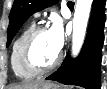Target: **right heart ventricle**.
<instances>
[{
	"mask_svg": "<svg viewBox=\"0 0 107 89\" xmlns=\"http://www.w3.org/2000/svg\"><path fill=\"white\" fill-rule=\"evenodd\" d=\"M35 27L36 26L34 22H31L30 24H28L16 37L11 48L10 60H11L12 70L18 78L24 79V80L32 79L36 76L35 74L28 72L23 67L21 62V53H22L23 45L27 37L34 30Z\"/></svg>",
	"mask_w": 107,
	"mask_h": 89,
	"instance_id": "right-heart-ventricle-1",
	"label": "right heart ventricle"
}]
</instances>
